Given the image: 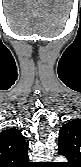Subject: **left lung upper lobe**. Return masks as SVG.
Segmentation results:
<instances>
[{
  "label": "left lung upper lobe",
  "instance_id": "obj_1",
  "mask_svg": "<svg viewBox=\"0 0 81 167\" xmlns=\"http://www.w3.org/2000/svg\"><path fill=\"white\" fill-rule=\"evenodd\" d=\"M58 153L68 159L67 166L80 167L81 119L72 120L60 129Z\"/></svg>",
  "mask_w": 81,
  "mask_h": 167
}]
</instances>
